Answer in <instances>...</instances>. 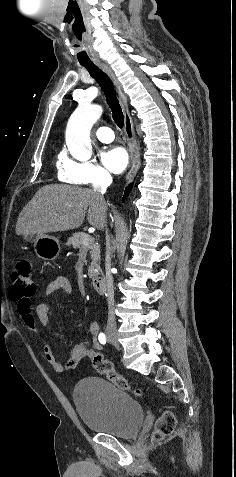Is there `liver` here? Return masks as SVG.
Wrapping results in <instances>:
<instances>
[{"instance_id": "1", "label": "liver", "mask_w": 236, "mask_h": 477, "mask_svg": "<svg viewBox=\"0 0 236 477\" xmlns=\"http://www.w3.org/2000/svg\"><path fill=\"white\" fill-rule=\"evenodd\" d=\"M106 212L104 199L93 190L50 184L40 188L22 209L16 223V234L45 235L79 228L86 213L89 224L102 229Z\"/></svg>"}]
</instances>
